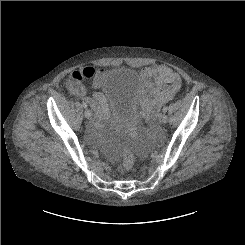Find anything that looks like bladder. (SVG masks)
I'll return each mask as SVG.
<instances>
[{
    "label": "bladder",
    "mask_w": 245,
    "mask_h": 245,
    "mask_svg": "<svg viewBox=\"0 0 245 245\" xmlns=\"http://www.w3.org/2000/svg\"><path fill=\"white\" fill-rule=\"evenodd\" d=\"M111 117L120 127L142 123L141 85L132 67H114L106 84Z\"/></svg>",
    "instance_id": "1"
}]
</instances>
